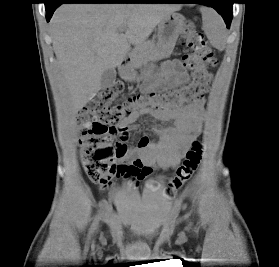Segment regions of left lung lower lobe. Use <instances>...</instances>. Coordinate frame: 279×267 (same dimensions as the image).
<instances>
[{"label": "left lung lower lobe", "mask_w": 279, "mask_h": 267, "mask_svg": "<svg viewBox=\"0 0 279 267\" xmlns=\"http://www.w3.org/2000/svg\"><path fill=\"white\" fill-rule=\"evenodd\" d=\"M153 3H200L213 7L224 19L227 28L232 20L233 0H156Z\"/></svg>", "instance_id": "0a47b994"}]
</instances>
